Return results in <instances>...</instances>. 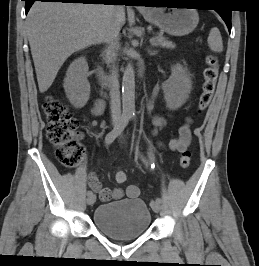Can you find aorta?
Wrapping results in <instances>:
<instances>
[{
	"label": "aorta",
	"mask_w": 259,
	"mask_h": 266,
	"mask_svg": "<svg viewBox=\"0 0 259 266\" xmlns=\"http://www.w3.org/2000/svg\"><path fill=\"white\" fill-rule=\"evenodd\" d=\"M122 107L123 115L131 117L135 113V71L131 64H128L123 73L122 79Z\"/></svg>",
	"instance_id": "1"
}]
</instances>
